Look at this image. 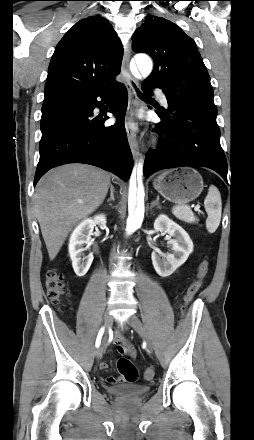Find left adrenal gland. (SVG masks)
Masks as SVG:
<instances>
[{
  "label": "left adrenal gland",
  "instance_id": "1",
  "mask_svg": "<svg viewBox=\"0 0 254 440\" xmlns=\"http://www.w3.org/2000/svg\"><path fill=\"white\" fill-rule=\"evenodd\" d=\"M153 207H157L158 209L161 208V205L159 203V195H157L156 200L151 203L150 209H152Z\"/></svg>",
  "mask_w": 254,
  "mask_h": 440
}]
</instances>
